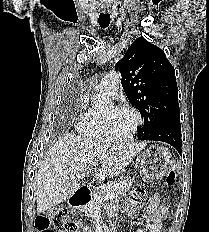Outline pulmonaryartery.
Returning <instances> with one entry per match:
<instances>
[{"label": "pulmonary artery", "mask_w": 209, "mask_h": 232, "mask_svg": "<svg viewBox=\"0 0 209 232\" xmlns=\"http://www.w3.org/2000/svg\"><path fill=\"white\" fill-rule=\"evenodd\" d=\"M119 83V74L116 71H110L103 76L98 88L107 96H115L119 89Z\"/></svg>", "instance_id": "e3ab8cb5"}]
</instances>
